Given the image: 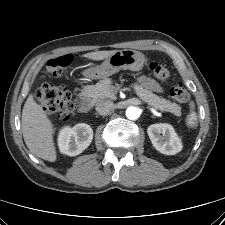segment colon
I'll use <instances>...</instances> for the list:
<instances>
[{
  "label": "colon",
  "mask_w": 225,
  "mask_h": 225,
  "mask_svg": "<svg viewBox=\"0 0 225 225\" xmlns=\"http://www.w3.org/2000/svg\"><path fill=\"white\" fill-rule=\"evenodd\" d=\"M73 62V56L66 54L49 60L46 64L47 72L53 77H60L64 70ZM149 71L159 80L165 81L170 77L169 70L163 65L151 61ZM170 95L178 102L185 103L190 95L187 87L179 82L171 86ZM36 99L47 114H57L62 119H68L74 109L75 103L71 100L70 92L63 86L42 84L35 93Z\"/></svg>",
  "instance_id": "1"
}]
</instances>
